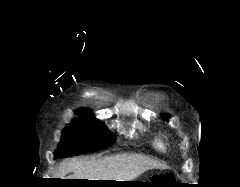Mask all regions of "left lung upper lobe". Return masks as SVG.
Returning a JSON list of instances; mask_svg holds the SVG:
<instances>
[{
    "mask_svg": "<svg viewBox=\"0 0 240 187\" xmlns=\"http://www.w3.org/2000/svg\"><path fill=\"white\" fill-rule=\"evenodd\" d=\"M164 120H168L170 117L169 116H163L162 117Z\"/></svg>",
    "mask_w": 240,
    "mask_h": 187,
    "instance_id": "1",
    "label": "left lung upper lobe"
}]
</instances>
